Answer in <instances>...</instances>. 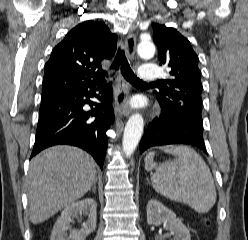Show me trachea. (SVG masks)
Segmentation results:
<instances>
[{
    "mask_svg": "<svg viewBox=\"0 0 248 240\" xmlns=\"http://www.w3.org/2000/svg\"><path fill=\"white\" fill-rule=\"evenodd\" d=\"M119 66H121V72L126 80L133 84H146L142 80H140L132 71L127 58L125 56L124 50L119 48L114 64L112 65V69L118 70Z\"/></svg>",
    "mask_w": 248,
    "mask_h": 240,
    "instance_id": "obj_1",
    "label": "trachea"
}]
</instances>
